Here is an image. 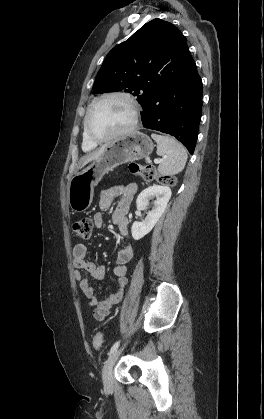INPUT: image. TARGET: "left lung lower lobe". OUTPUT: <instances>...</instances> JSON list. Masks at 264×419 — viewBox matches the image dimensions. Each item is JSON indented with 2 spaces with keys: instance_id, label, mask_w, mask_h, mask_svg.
<instances>
[{
  "instance_id": "left-lung-lower-lobe-1",
  "label": "left lung lower lobe",
  "mask_w": 264,
  "mask_h": 419,
  "mask_svg": "<svg viewBox=\"0 0 264 419\" xmlns=\"http://www.w3.org/2000/svg\"><path fill=\"white\" fill-rule=\"evenodd\" d=\"M172 72L152 86L143 105L142 123L177 138L193 154L202 109V81L182 36Z\"/></svg>"
}]
</instances>
